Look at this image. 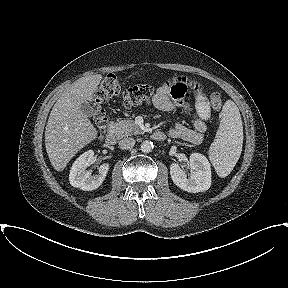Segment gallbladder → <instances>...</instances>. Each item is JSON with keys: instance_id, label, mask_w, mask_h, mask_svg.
<instances>
[{"instance_id": "1", "label": "gallbladder", "mask_w": 288, "mask_h": 288, "mask_svg": "<svg viewBox=\"0 0 288 288\" xmlns=\"http://www.w3.org/2000/svg\"><path fill=\"white\" fill-rule=\"evenodd\" d=\"M81 110L88 117H92L94 114L93 107L89 104V102H84L81 106Z\"/></svg>"}]
</instances>
